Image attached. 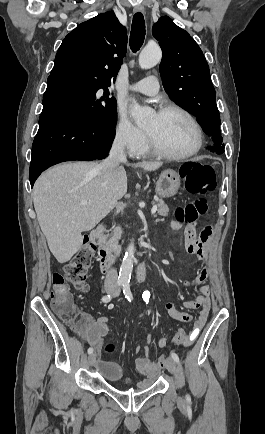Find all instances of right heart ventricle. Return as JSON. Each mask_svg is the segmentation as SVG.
I'll use <instances>...</instances> for the list:
<instances>
[{
    "label": "right heart ventricle",
    "mask_w": 265,
    "mask_h": 434,
    "mask_svg": "<svg viewBox=\"0 0 265 434\" xmlns=\"http://www.w3.org/2000/svg\"><path fill=\"white\" fill-rule=\"evenodd\" d=\"M147 154H148V151H147V149H145V151H141L140 154H134V155L137 156V157H144V156H146Z\"/></svg>",
    "instance_id": "1"
}]
</instances>
